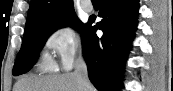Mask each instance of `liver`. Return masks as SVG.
Instances as JSON below:
<instances>
[{
  "instance_id": "1",
  "label": "liver",
  "mask_w": 173,
  "mask_h": 91,
  "mask_svg": "<svg viewBox=\"0 0 173 91\" xmlns=\"http://www.w3.org/2000/svg\"><path fill=\"white\" fill-rule=\"evenodd\" d=\"M86 89L96 91L91 83ZM13 91H79V84L74 73L46 77L24 76L16 82Z\"/></svg>"
}]
</instances>
